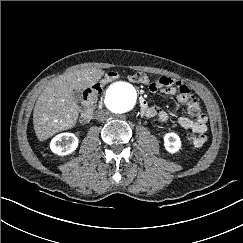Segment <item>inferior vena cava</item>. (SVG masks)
I'll return each mask as SVG.
<instances>
[{"instance_id": "obj_1", "label": "inferior vena cava", "mask_w": 243, "mask_h": 243, "mask_svg": "<svg viewBox=\"0 0 243 243\" xmlns=\"http://www.w3.org/2000/svg\"><path fill=\"white\" fill-rule=\"evenodd\" d=\"M109 116V112L107 110H104V109H101V110H97L95 112V118L98 120V121H103L105 119H107Z\"/></svg>"}]
</instances>
